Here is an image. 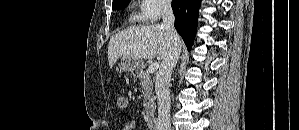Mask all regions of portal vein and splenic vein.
I'll use <instances>...</instances> for the list:
<instances>
[{
  "mask_svg": "<svg viewBox=\"0 0 299 130\" xmlns=\"http://www.w3.org/2000/svg\"><path fill=\"white\" fill-rule=\"evenodd\" d=\"M158 67H159V64L157 62H155L149 66L148 72L153 73L158 69Z\"/></svg>",
  "mask_w": 299,
  "mask_h": 130,
  "instance_id": "obj_1",
  "label": "portal vein and splenic vein"
}]
</instances>
